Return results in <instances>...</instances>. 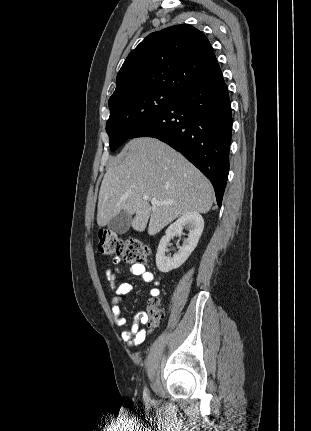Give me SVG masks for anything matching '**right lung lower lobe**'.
Listing matches in <instances>:
<instances>
[{"instance_id":"98d812e1","label":"right lung lower lobe","mask_w":311,"mask_h":431,"mask_svg":"<svg viewBox=\"0 0 311 431\" xmlns=\"http://www.w3.org/2000/svg\"><path fill=\"white\" fill-rule=\"evenodd\" d=\"M231 131V103L221 73L180 93L130 138L154 137L181 152L211 181L221 206Z\"/></svg>"}]
</instances>
